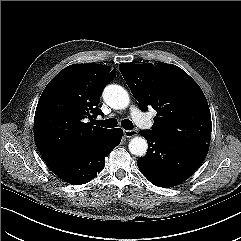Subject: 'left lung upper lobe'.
Segmentation results:
<instances>
[{"instance_id": "obj_1", "label": "left lung upper lobe", "mask_w": 241, "mask_h": 241, "mask_svg": "<svg viewBox=\"0 0 241 241\" xmlns=\"http://www.w3.org/2000/svg\"><path fill=\"white\" fill-rule=\"evenodd\" d=\"M119 69L140 109L157 111L148 131L164 140L208 151L212 128L209 106L186 72L163 62L122 63Z\"/></svg>"}]
</instances>
